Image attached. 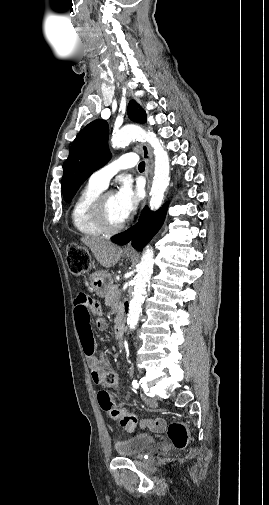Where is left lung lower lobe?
I'll return each mask as SVG.
<instances>
[{
	"label": "left lung lower lobe",
	"mask_w": 269,
	"mask_h": 505,
	"mask_svg": "<svg viewBox=\"0 0 269 505\" xmlns=\"http://www.w3.org/2000/svg\"><path fill=\"white\" fill-rule=\"evenodd\" d=\"M165 215L166 206L157 212H151L147 207H145L139 218L138 224L113 238L112 242L124 245L132 240V246L141 251L160 229Z\"/></svg>",
	"instance_id": "obj_1"
}]
</instances>
